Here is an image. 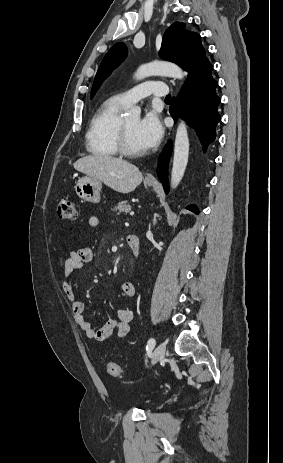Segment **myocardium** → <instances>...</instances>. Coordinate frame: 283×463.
Masks as SVG:
<instances>
[{"mask_svg":"<svg viewBox=\"0 0 283 463\" xmlns=\"http://www.w3.org/2000/svg\"><path fill=\"white\" fill-rule=\"evenodd\" d=\"M117 146H118V151L121 154H123L124 156L130 157V158L141 157L145 154L143 151H135L130 147L128 140H127V132H126V126H125L124 119H121L119 126H118Z\"/></svg>","mask_w":283,"mask_h":463,"instance_id":"1","label":"myocardium"}]
</instances>
